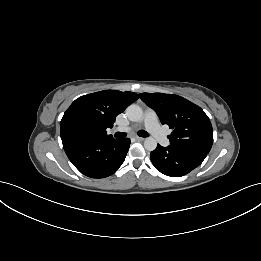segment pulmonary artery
<instances>
[{"label": "pulmonary artery", "instance_id": "e3ab8cb5", "mask_svg": "<svg viewBox=\"0 0 261 261\" xmlns=\"http://www.w3.org/2000/svg\"><path fill=\"white\" fill-rule=\"evenodd\" d=\"M143 123L146 129L154 136V138L157 140L159 144H161L164 147L169 145V139L160 127L156 113L153 110H146ZM135 128L136 126H130L126 128H119L118 131L128 132L134 130Z\"/></svg>", "mask_w": 261, "mask_h": 261}]
</instances>
